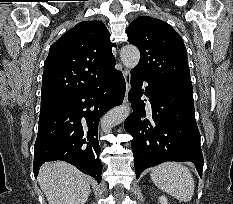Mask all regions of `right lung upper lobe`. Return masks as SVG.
<instances>
[{"label":"right lung upper lobe","instance_id":"cb5924a9","mask_svg":"<svg viewBox=\"0 0 233 204\" xmlns=\"http://www.w3.org/2000/svg\"><path fill=\"white\" fill-rule=\"evenodd\" d=\"M113 45L101 21H84L64 33L44 63L41 104L63 102L105 79L116 63Z\"/></svg>","mask_w":233,"mask_h":204}]
</instances>
